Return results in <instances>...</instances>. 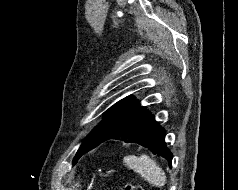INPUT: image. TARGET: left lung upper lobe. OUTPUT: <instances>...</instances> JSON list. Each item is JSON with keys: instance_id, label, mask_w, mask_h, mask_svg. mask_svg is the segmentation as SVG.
Returning <instances> with one entry per match:
<instances>
[{"instance_id": "left-lung-upper-lobe-1", "label": "left lung upper lobe", "mask_w": 238, "mask_h": 190, "mask_svg": "<svg viewBox=\"0 0 238 190\" xmlns=\"http://www.w3.org/2000/svg\"><path fill=\"white\" fill-rule=\"evenodd\" d=\"M137 100L134 96H127L117 103H115L112 107H110L104 119L100 124H98L93 131L88 135L84 143L80 146L77 151L73 163H76L77 160L88 150L100 145L102 143L103 138L108 134V132L112 129L113 125L119 119L124 111L130 108Z\"/></svg>"}]
</instances>
